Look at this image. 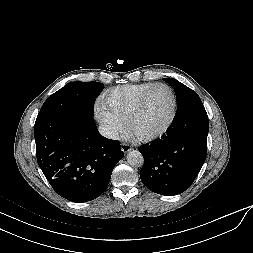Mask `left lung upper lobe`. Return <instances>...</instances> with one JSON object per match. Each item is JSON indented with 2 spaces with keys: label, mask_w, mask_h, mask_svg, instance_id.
<instances>
[{
  "label": "left lung upper lobe",
  "mask_w": 253,
  "mask_h": 253,
  "mask_svg": "<svg viewBox=\"0 0 253 253\" xmlns=\"http://www.w3.org/2000/svg\"><path fill=\"white\" fill-rule=\"evenodd\" d=\"M163 80L166 81L176 93L177 113L202 104L198 94L181 82L173 78H164Z\"/></svg>",
  "instance_id": "5c2ea615"
}]
</instances>
